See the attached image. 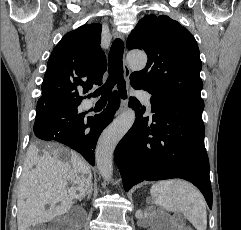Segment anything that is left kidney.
Listing matches in <instances>:
<instances>
[{"label":"left kidney","instance_id":"obj_1","mask_svg":"<svg viewBox=\"0 0 241 230\" xmlns=\"http://www.w3.org/2000/svg\"><path fill=\"white\" fill-rule=\"evenodd\" d=\"M151 217H152V219H151ZM153 217H155L154 212L149 214L148 223L150 225V228L148 230H184L183 227H181V226L173 227V226L166 225V224H157L156 222L153 221Z\"/></svg>","mask_w":241,"mask_h":230}]
</instances>
